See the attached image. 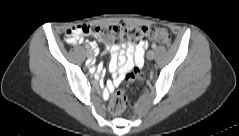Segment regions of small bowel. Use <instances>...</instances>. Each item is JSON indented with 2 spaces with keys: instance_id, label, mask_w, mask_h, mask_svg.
<instances>
[{
  "instance_id": "1",
  "label": "small bowel",
  "mask_w": 239,
  "mask_h": 136,
  "mask_svg": "<svg viewBox=\"0 0 239 136\" xmlns=\"http://www.w3.org/2000/svg\"><path fill=\"white\" fill-rule=\"evenodd\" d=\"M91 46L97 52L96 41L91 42ZM148 48L145 41L136 44L130 43L127 47L120 41L106 46L110 52L109 70L114 73L113 79L106 84L107 92H112L114 87L120 82L123 73L132 69L134 66H141L144 62V53Z\"/></svg>"
}]
</instances>
